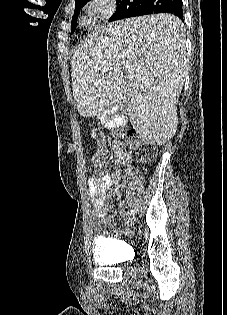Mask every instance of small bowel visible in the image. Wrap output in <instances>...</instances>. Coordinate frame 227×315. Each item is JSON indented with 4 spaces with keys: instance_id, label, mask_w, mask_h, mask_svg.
I'll use <instances>...</instances> for the list:
<instances>
[{
    "instance_id": "small-bowel-1",
    "label": "small bowel",
    "mask_w": 227,
    "mask_h": 315,
    "mask_svg": "<svg viewBox=\"0 0 227 315\" xmlns=\"http://www.w3.org/2000/svg\"><path fill=\"white\" fill-rule=\"evenodd\" d=\"M115 162L118 168L111 174L102 171L92 174L88 178V192L91 197V213L97 222H102L111 212L112 206L110 199L112 196L120 197V191L116 188L110 194L106 191L112 185H117L123 175L134 176L138 168L133 164L129 154L124 151L120 146L115 147ZM126 211L124 202L119 200V212L124 214Z\"/></svg>"
}]
</instances>
